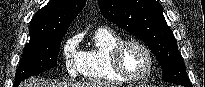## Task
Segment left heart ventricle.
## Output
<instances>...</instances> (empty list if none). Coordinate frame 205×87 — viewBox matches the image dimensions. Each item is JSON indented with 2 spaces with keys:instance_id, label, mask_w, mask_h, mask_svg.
I'll list each match as a JSON object with an SVG mask.
<instances>
[{
  "instance_id": "b2bd125f",
  "label": "left heart ventricle",
  "mask_w": 205,
  "mask_h": 87,
  "mask_svg": "<svg viewBox=\"0 0 205 87\" xmlns=\"http://www.w3.org/2000/svg\"><path fill=\"white\" fill-rule=\"evenodd\" d=\"M148 57L146 53L136 45H128L121 54V65L131 76H139L148 68Z\"/></svg>"
}]
</instances>
